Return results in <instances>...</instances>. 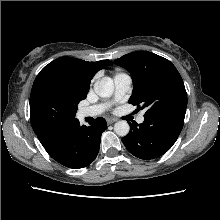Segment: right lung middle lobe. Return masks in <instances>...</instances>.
I'll return each instance as SVG.
<instances>
[{
  "instance_id": "1",
  "label": "right lung middle lobe",
  "mask_w": 220,
  "mask_h": 220,
  "mask_svg": "<svg viewBox=\"0 0 220 220\" xmlns=\"http://www.w3.org/2000/svg\"><path fill=\"white\" fill-rule=\"evenodd\" d=\"M77 81L67 75L37 76L30 94L32 127L56 133L76 120L78 103L83 99L76 92Z\"/></svg>"
}]
</instances>
